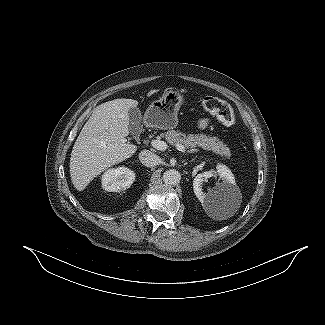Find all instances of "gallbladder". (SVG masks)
I'll return each mask as SVG.
<instances>
[{
    "label": "gallbladder",
    "mask_w": 325,
    "mask_h": 325,
    "mask_svg": "<svg viewBox=\"0 0 325 325\" xmlns=\"http://www.w3.org/2000/svg\"><path fill=\"white\" fill-rule=\"evenodd\" d=\"M130 132L133 136H137L141 131V112L138 108H130L129 110Z\"/></svg>",
    "instance_id": "obj_1"
}]
</instances>
